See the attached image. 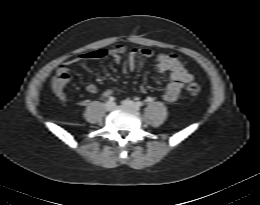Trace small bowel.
Returning <instances> with one entry per match:
<instances>
[{"label": "small bowel", "mask_w": 260, "mask_h": 205, "mask_svg": "<svg viewBox=\"0 0 260 205\" xmlns=\"http://www.w3.org/2000/svg\"><path fill=\"white\" fill-rule=\"evenodd\" d=\"M127 54V65L130 70H134L137 63V58L142 56L147 59L153 58V51L149 48H133L128 50L123 44L115 46L110 51L97 50L88 53H84L76 58L67 60L63 62L57 69L52 81L51 88L55 97L65 102L67 100V95L65 92L66 85L72 79V67L80 59H93V58H103L106 56L111 57L115 62L119 63L122 60V55ZM156 68L159 73H170L171 80L166 85L163 91V99L167 102H174L179 97V94L183 86L192 80L191 75L183 67L178 56L175 54H159L155 58ZM86 90L89 93L95 94L98 92L96 84L89 83L86 86ZM140 90L146 92V87L141 86ZM113 94L111 89H105L103 95L108 97Z\"/></svg>", "instance_id": "small-bowel-1"}]
</instances>
